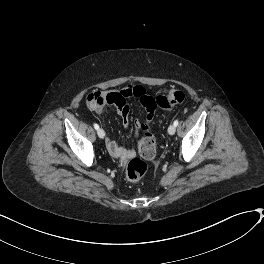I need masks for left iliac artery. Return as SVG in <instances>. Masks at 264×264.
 <instances>
[{"label": "left iliac artery", "instance_id": "obj_1", "mask_svg": "<svg viewBox=\"0 0 264 264\" xmlns=\"http://www.w3.org/2000/svg\"><path fill=\"white\" fill-rule=\"evenodd\" d=\"M179 124V121L178 120H175L174 121V125L177 126Z\"/></svg>", "mask_w": 264, "mask_h": 264}]
</instances>
